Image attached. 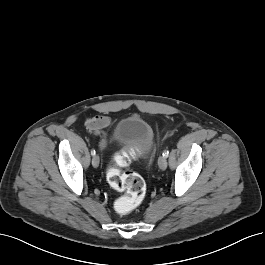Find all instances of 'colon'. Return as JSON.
Segmentation results:
<instances>
[{"label": "colon", "instance_id": "obj_1", "mask_svg": "<svg viewBox=\"0 0 265 265\" xmlns=\"http://www.w3.org/2000/svg\"><path fill=\"white\" fill-rule=\"evenodd\" d=\"M134 151H124L114 157L113 165L108 168L107 180L110 186L119 191H125L126 196L116 203V211L119 214H126L137 207L144 198L146 187L143 179L134 172L120 171V167L129 164Z\"/></svg>", "mask_w": 265, "mask_h": 265}]
</instances>
